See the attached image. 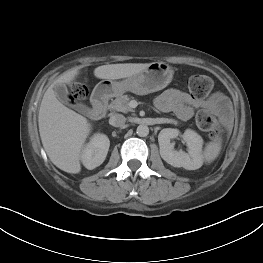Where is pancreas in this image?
<instances>
[{
	"label": "pancreas",
	"instance_id": "1",
	"mask_svg": "<svg viewBox=\"0 0 263 263\" xmlns=\"http://www.w3.org/2000/svg\"><path fill=\"white\" fill-rule=\"evenodd\" d=\"M130 100L131 97L128 95L118 96L114 100H112L108 108L112 111H118L123 113L133 111V109L129 106Z\"/></svg>",
	"mask_w": 263,
	"mask_h": 263
}]
</instances>
